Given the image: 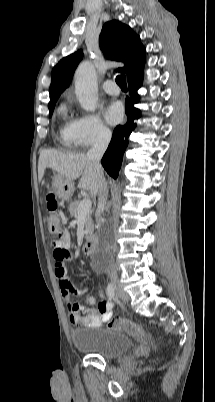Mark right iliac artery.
I'll use <instances>...</instances> for the list:
<instances>
[{
	"label": "right iliac artery",
	"mask_w": 215,
	"mask_h": 402,
	"mask_svg": "<svg viewBox=\"0 0 215 402\" xmlns=\"http://www.w3.org/2000/svg\"><path fill=\"white\" fill-rule=\"evenodd\" d=\"M107 295H108L109 299H115V290H114V286L112 283H109L107 285Z\"/></svg>",
	"instance_id": "obj_1"
}]
</instances>
